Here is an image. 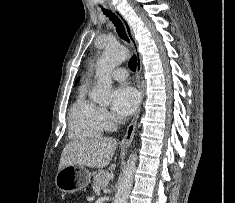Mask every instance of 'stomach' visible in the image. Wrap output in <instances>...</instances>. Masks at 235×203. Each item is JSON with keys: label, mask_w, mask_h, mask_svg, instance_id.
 Wrapping results in <instances>:
<instances>
[{"label": "stomach", "mask_w": 235, "mask_h": 203, "mask_svg": "<svg viewBox=\"0 0 235 203\" xmlns=\"http://www.w3.org/2000/svg\"><path fill=\"white\" fill-rule=\"evenodd\" d=\"M90 181V172L81 165L66 166L55 177L57 188L65 193H75L87 187Z\"/></svg>", "instance_id": "stomach-1"}]
</instances>
